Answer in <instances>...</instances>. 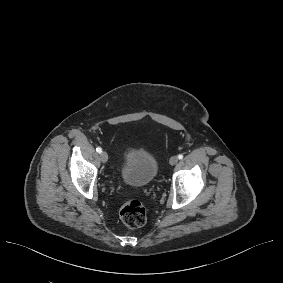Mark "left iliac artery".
<instances>
[{
	"label": "left iliac artery",
	"mask_w": 283,
	"mask_h": 283,
	"mask_svg": "<svg viewBox=\"0 0 283 283\" xmlns=\"http://www.w3.org/2000/svg\"><path fill=\"white\" fill-rule=\"evenodd\" d=\"M183 157H184L183 154L178 155V159H183Z\"/></svg>",
	"instance_id": "1"
}]
</instances>
